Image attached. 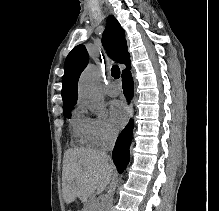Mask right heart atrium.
<instances>
[{"label":"right heart atrium","instance_id":"right-heart-atrium-1","mask_svg":"<svg viewBox=\"0 0 219 211\" xmlns=\"http://www.w3.org/2000/svg\"><path fill=\"white\" fill-rule=\"evenodd\" d=\"M86 131L90 141L96 146H107L114 142L118 129L108 116L102 112H93L85 117Z\"/></svg>","mask_w":219,"mask_h":211}]
</instances>
